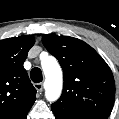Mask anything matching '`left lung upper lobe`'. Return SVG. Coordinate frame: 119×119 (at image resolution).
I'll use <instances>...</instances> for the list:
<instances>
[{
	"label": "left lung upper lobe",
	"mask_w": 119,
	"mask_h": 119,
	"mask_svg": "<svg viewBox=\"0 0 119 119\" xmlns=\"http://www.w3.org/2000/svg\"><path fill=\"white\" fill-rule=\"evenodd\" d=\"M42 42L64 73L63 93L51 108L108 118L114 105L115 82L103 58L77 38L46 34Z\"/></svg>",
	"instance_id": "5c2ea615"
}]
</instances>
